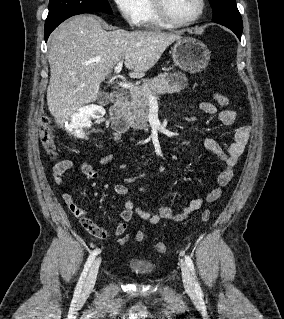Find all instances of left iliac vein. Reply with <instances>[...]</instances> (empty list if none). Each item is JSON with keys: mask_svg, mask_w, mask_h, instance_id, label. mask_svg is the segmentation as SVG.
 I'll list each match as a JSON object with an SVG mask.
<instances>
[{"mask_svg": "<svg viewBox=\"0 0 284 319\" xmlns=\"http://www.w3.org/2000/svg\"><path fill=\"white\" fill-rule=\"evenodd\" d=\"M180 266H181V271H182L183 284H184L186 291L189 293H194L195 288H194L191 273H190L187 265L183 261H181Z\"/></svg>", "mask_w": 284, "mask_h": 319, "instance_id": "obj_1", "label": "left iliac vein"}]
</instances>
